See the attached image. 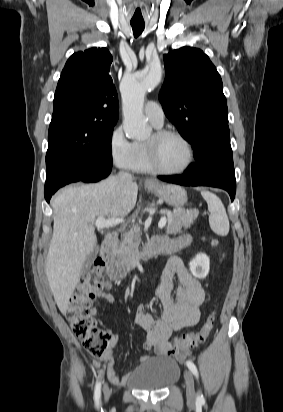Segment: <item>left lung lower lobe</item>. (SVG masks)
Here are the masks:
<instances>
[{
    "mask_svg": "<svg viewBox=\"0 0 283 412\" xmlns=\"http://www.w3.org/2000/svg\"><path fill=\"white\" fill-rule=\"evenodd\" d=\"M196 162L189 165L182 175L159 176V179L184 186H211L226 190L231 201L236 193V180L230 160L217 153H199Z\"/></svg>",
    "mask_w": 283,
    "mask_h": 412,
    "instance_id": "left-lung-lower-lobe-1",
    "label": "left lung lower lobe"
}]
</instances>
